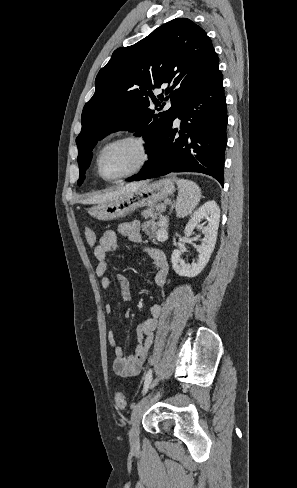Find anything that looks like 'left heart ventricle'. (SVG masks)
Segmentation results:
<instances>
[{"mask_svg": "<svg viewBox=\"0 0 297 488\" xmlns=\"http://www.w3.org/2000/svg\"><path fill=\"white\" fill-rule=\"evenodd\" d=\"M142 158L140 146L132 141L121 142L109 148L102 159L106 177H116L134 168Z\"/></svg>", "mask_w": 297, "mask_h": 488, "instance_id": "1", "label": "left heart ventricle"}]
</instances>
